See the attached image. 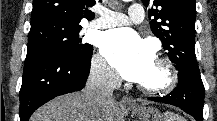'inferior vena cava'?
I'll list each match as a JSON object with an SVG mask.
<instances>
[{
  "instance_id": "1",
  "label": "inferior vena cava",
  "mask_w": 217,
  "mask_h": 121,
  "mask_svg": "<svg viewBox=\"0 0 217 121\" xmlns=\"http://www.w3.org/2000/svg\"><path fill=\"white\" fill-rule=\"evenodd\" d=\"M120 84L118 75L105 63L94 65L83 90L84 99L95 112H106L114 103L113 91Z\"/></svg>"
}]
</instances>
